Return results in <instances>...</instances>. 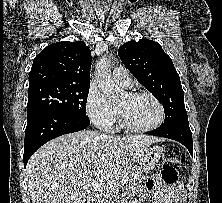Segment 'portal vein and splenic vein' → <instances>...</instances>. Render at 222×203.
I'll list each match as a JSON object with an SVG mask.
<instances>
[{"instance_id":"1","label":"portal vein and splenic vein","mask_w":222,"mask_h":203,"mask_svg":"<svg viewBox=\"0 0 222 203\" xmlns=\"http://www.w3.org/2000/svg\"><path fill=\"white\" fill-rule=\"evenodd\" d=\"M124 182L122 181H112V182H92L87 184L94 190H105L107 192H115L119 189Z\"/></svg>"}]
</instances>
